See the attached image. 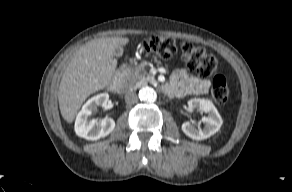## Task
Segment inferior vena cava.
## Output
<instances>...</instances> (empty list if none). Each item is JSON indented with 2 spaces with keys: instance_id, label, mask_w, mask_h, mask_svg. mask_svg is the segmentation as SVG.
Here are the masks:
<instances>
[{
  "instance_id": "602c4592",
  "label": "inferior vena cava",
  "mask_w": 292,
  "mask_h": 192,
  "mask_svg": "<svg viewBox=\"0 0 292 192\" xmlns=\"http://www.w3.org/2000/svg\"><path fill=\"white\" fill-rule=\"evenodd\" d=\"M125 102L128 104H135L138 102V96L133 91H128L125 94Z\"/></svg>"
}]
</instances>
